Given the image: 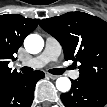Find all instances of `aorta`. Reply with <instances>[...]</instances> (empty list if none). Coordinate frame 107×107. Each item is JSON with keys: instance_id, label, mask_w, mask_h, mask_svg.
I'll use <instances>...</instances> for the list:
<instances>
[{"instance_id": "aorta-1", "label": "aorta", "mask_w": 107, "mask_h": 107, "mask_svg": "<svg viewBox=\"0 0 107 107\" xmlns=\"http://www.w3.org/2000/svg\"><path fill=\"white\" fill-rule=\"evenodd\" d=\"M24 46L30 54H37L43 49L44 40L38 34H30L26 37ZM56 88L63 93L68 92L71 88L70 79L68 77H59L56 80Z\"/></svg>"}]
</instances>
